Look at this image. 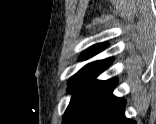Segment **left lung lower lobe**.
Masks as SVG:
<instances>
[{
    "instance_id": "left-lung-lower-lobe-1",
    "label": "left lung lower lobe",
    "mask_w": 156,
    "mask_h": 124,
    "mask_svg": "<svg viewBox=\"0 0 156 124\" xmlns=\"http://www.w3.org/2000/svg\"><path fill=\"white\" fill-rule=\"evenodd\" d=\"M116 79L108 80L78 124H134L124 115L125 101L112 94Z\"/></svg>"
}]
</instances>
